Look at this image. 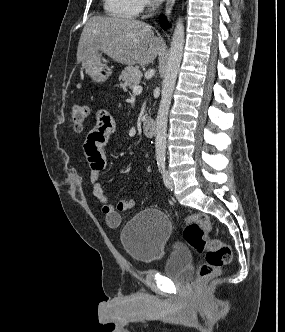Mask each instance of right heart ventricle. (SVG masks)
Listing matches in <instances>:
<instances>
[{
    "mask_svg": "<svg viewBox=\"0 0 285 332\" xmlns=\"http://www.w3.org/2000/svg\"><path fill=\"white\" fill-rule=\"evenodd\" d=\"M105 13L116 19L132 20L140 12L138 0H103Z\"/></svg>",
    "mask_w": 285,
    "mask_h": 332,
    "instance_id": "e07e8e85",
    "label": "right heart ventricle"
}]
</instances>
